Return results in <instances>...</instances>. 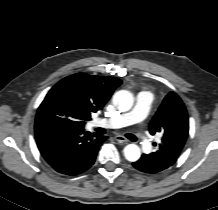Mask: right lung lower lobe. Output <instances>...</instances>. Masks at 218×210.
I'll list each match as a JSON object with an SVG mask.
<instances>
[{
  "mask_svg": "<svg viewBox=\"0 0 218 210\" xmlns=\"http://www.w3.org/2000/svg\"><path fill=\"white\" fill-rule=\"evenodd\" d=\"M38 149L57 172L74 176L88 170L95 162L99 147L106 137L84 133L81 129L44 122L35 124Z\"/></svg>",
  "mask_w": 218,
  "mask_h": 210,
  "instance_id": "98d812e1",
  "label": "right lung lower lobe"
}]
</instances>
